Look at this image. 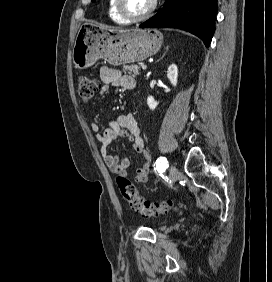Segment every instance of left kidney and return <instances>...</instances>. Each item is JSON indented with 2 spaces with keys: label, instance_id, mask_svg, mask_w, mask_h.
<instances>
[{
  "label": "left kidney",
  "instance_id": "left-kidney-1",
  "mask_svg": "<svg viewBox=\"0 0 272 282\" xmlns=\"http://www.w3.org/2000/svg\"><path fill=\"white\" fill-rule=\"evenodd\" d=\"M167 78L169 79L170 83L173 86L177 85V81H178V67H177V65L172 64L168 67ZM158 104H159V102L155 101L154 97L148 96L147 105L149 106V108L151 110H154L157 107Z\"/></svg>",
  "mask_w": 272,
  "mask_h": 282
}]
</instances>
